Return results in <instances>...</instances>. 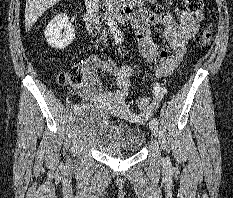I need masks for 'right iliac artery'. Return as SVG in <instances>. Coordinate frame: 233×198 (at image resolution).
Masks as SVG:
<instances>
[{
	"instance_id": "right-iliac-artery-1",
	"label": "right iliac artery",
	"mask_w": 233,
	"mask_h": 198,
	"mask_svg": "<svg viewBox=\"0 0 233 198\" xmlns=\"http://www.w3.org/2000/svg\"><path fill=\"white\" fill-rule=\"evenodd\" d=\"M73 109L74 111H77L80 109V104L79 103H76L74 106H73Z\"/></svg>"
}]
</instances>
